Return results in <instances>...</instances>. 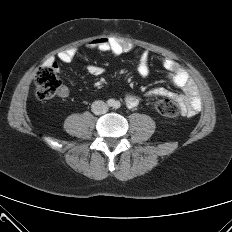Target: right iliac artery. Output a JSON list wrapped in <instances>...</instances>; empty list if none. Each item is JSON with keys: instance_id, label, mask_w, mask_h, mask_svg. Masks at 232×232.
Instances as JSON below:
<instances>
[{"instance_id": "1", "label": "right iliac artery", "mask_w": 232, "mask_h": 232, "mask_svg": "<svg viewBox=\"0 0 232 232\" xmlns=\"http://www.w3.org/2000/svg\"><path fill=\"white\" fill-rule=\"evenodd\" d=\"M107 104H108V106H113V105H114V100L109 99V100L107 101Z\"/></svg>"}]
</instances>
